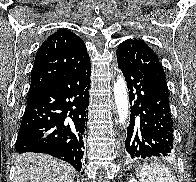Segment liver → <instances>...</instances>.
Wrapping results in <instances>:
<instances>
[{"label":"liver","mask_w":196,"mask_h":182,"mask_svg":"<svg viewBox=\"0 0 196 182\" xmlns=\"http://www.w3.org/2000/svg\"><path fill=\"white\" fill-rule=\"evenodd\" d=\"M74 168L50 155L24 153L16 159L14 182H73Z\"/></svg>","instance_id":"liver-1"}]
</instances>
